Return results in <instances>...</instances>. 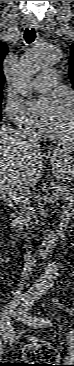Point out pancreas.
<instances>
[{"instance_id":"1","label":"pancreas","mask_w":74,"mask_h":366,"mask_svg":"<svg viewBox=\"0 0 74 366\" xmlns=\"http://www.w3.org/2000/svg\"><path fill=\"white\" fill-rule=\"evenodd\" d=\"M51 189H54L55 195L60 196V198L64 201H68V205L70 202L73 201L74 198V190L70 186L67 185H59V184H52ZM24 203H27L24 201Z\"/></svg>"}]
</instances>
